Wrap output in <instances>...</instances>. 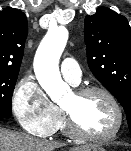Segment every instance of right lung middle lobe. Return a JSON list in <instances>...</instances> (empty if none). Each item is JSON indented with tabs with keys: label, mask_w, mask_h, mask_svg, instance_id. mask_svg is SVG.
Masks as SVG:
<instances>
[{
	"label": "right lung middle lobe",
	"mask_w": 131,
	"mask_h": 151,
	"mask_svg": "<svg viewBox=\"0 0 131 151\" xmlns=\"http://www.w3.org/2000/svg\"><path fill=\"white\" fill-rule=\"evenodd\" d=\"M18 72L0 71V117H11V100Z\"/></svg>",
	"instance_id": "1"
}]
</instances>
